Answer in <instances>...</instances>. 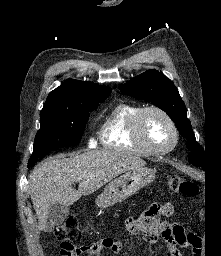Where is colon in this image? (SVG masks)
<instances>
[{
	"mask_svg": "<svg viewBox=\"0 0 221 256\" xmlns=\"http://www.w3.org/2000/svg\"><path fill=\"white\" fill-rule=\"evenodd\" d=\"M168 187L173 193L193 196L197 194V185L186 178L173 175L168 179ZM54 235L61 242V253L68 255H78L80 250L77 242L81 238L79 221L76 217H68L64 223L57 226ZM187 242L193 249L194 256H200L202 242L195 234L188 236Z\"/></svg>",
	"mask_w": 221,
	"mask_h": 256,
	"instance_id": "1",
	"label": "colon"
}]
</instances>
